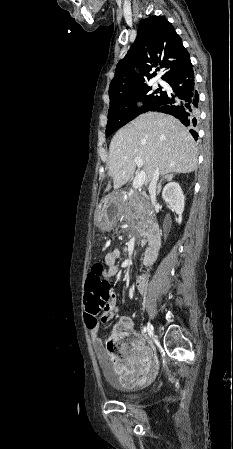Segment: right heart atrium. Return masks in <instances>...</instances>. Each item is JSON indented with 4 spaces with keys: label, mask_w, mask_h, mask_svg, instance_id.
I'll list each match as a JSON object with an SVG mask.
<instances>
[{
    "label": "right heart atrium",
    "mask_w": 233,
    "mask_h": 449,
    "mask_svg": "<svg viewBox=\"0 0 233 449\" xmlns=\"http://www.w3.org/2000/svg\"><path fill=\"white\" fill-rule=\"evenodd\" d=\"M134 105L137 109L141 110L146 106V102L142 97H135Z\"/></svg>",
    "instance_id": "d8ad5b80"
}]
</instances>
